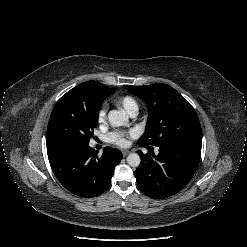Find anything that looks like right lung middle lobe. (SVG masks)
Segmentation results:
<instances>
[{
	"instance_id": "dd1d6c3e",
	"label": "right lung middle lobe",
	"mask_w": 247,
	"mask_h": 247,
	"mask_svg": "<svg viewBox=\"0 0 247 247\" xmlns=\"http://www.w3.org/2000/svg\"><path fill=\"white\" fill-rule=\"evenodd\" d=\"M100 105L92 98L63 95L50 116L47 149L62 144H89L97 127Z\"/></svg>"
}]
</instances>
